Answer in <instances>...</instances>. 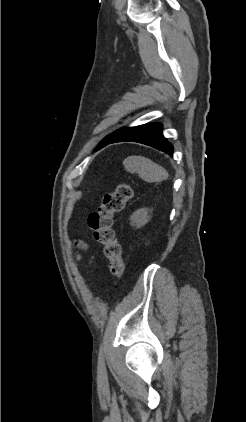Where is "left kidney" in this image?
Instances as JSON below:
<instances>
[{"label":"left kidney","mask_w":246,"mask_h":422,"mask_svg":"<svg viewBox=\"0 0 246 422\" xmlns=\"http://www.w3.org/2000/svg\"><path fill=\"white\" fill-rule=\"evenodd\" d=\"M149 212L150 210L148 208H141L135 211L130 216L131 226L135 227L136 229H139L142 226H144L146 223H148V221L150 220Z\"/></svg>","instance_id":"1"}]
</instances>
